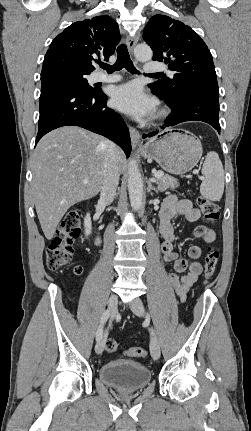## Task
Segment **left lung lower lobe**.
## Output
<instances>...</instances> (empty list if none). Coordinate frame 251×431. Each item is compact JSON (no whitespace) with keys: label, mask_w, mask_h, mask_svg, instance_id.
<instances>
[{"label":"left lung lower lobe","mask_w":251,"mask_h":431,"mask_svg":"<svg viewBox=\"0 0 251 431\" xmlns=\"http://www.w3.org/2000/svg\"><path fill=\"white\" fill-rule=\"evenodd\" d=\"M152 93L157 95L154 90ZM218 97L219 91L217 89L196 88L187 91L176 104L166 102L171 108V115L166 119L164 126H174L185 121L195 120L210 124L220 133ZM157 133L158 131L148 133L143 135V138L155 136Z\"/></svg>","instance_id":"0a47b994"}]
</instances>
